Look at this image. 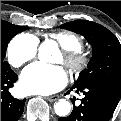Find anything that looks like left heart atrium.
<instances>
[{
    "instance_id": "obj_1",
    "label": "left heart atrium",
    "mask_w": 121,
    "mask_h": 121,
    "mask_svg": "<svg viewBox=\"0 0 121 121\" xmlns=\"http://www.w3.org/2000/svg\"><path fill=\"white\" fill-rule=\"evenodd\" d=\"M67 84V75L60 66L34 63L21 76V88L29 94H52Z\"/></svg>"
}]
</instances>
